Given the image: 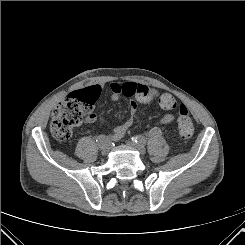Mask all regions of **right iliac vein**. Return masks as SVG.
<instances>
[{"mask_svg":"<svg viewBox=\"0 0 245 245\" xmlns=\"http://www.w3.org/2000/svg\"><path fill=\"white\" fill-rule=\"evenodd\" d=\"M105 148H106V149H105ZM108 152H109V149H108L107 146H103V147L101 148V154H102V155H107Z\"/></svg>","mask_w":245,"mask_h":245,"instance_id":"obj_1","label":"right iliac vein"}]
</instances>
